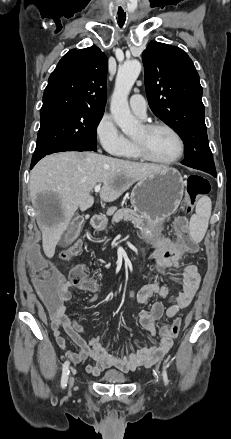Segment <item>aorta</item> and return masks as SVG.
<instances>
[{
  "label": "aorta",
  "instance_id": "obj_1",
  "mask_svg": "<svg viewBox=\"0 0 231 439\" xmlns=\"http://www.w3.org/2000/svg\"><path fill=\"white\" fill-rule=\"evenodd\" d=\"M141 72L138 60L125 62L118 68L115 88L111 98V114L124 134L131 136L138 131V122L130 112L128 95Z\"/></svg>",
  "mask_w": 231,
  "mask_h": 439
}]
</instances>
